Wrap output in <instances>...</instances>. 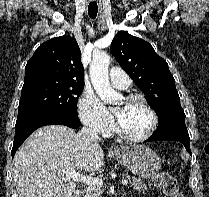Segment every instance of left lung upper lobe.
<instances>
[{
	"label": "left lung upper lobe",
	"instance_id": "obj_1",
	"mask_svg": "<svg viewBox=\"0 0 209 197\" xmlns=\"http://www.w3.org/2000/svg\"><path fill=\"white\" fill-rule=\"evenodd\" d=\"M110 51L134 83L148 97L159 124L173 117H185L167 62L146 41L120 31Z\"/></svg>",
	"mask_w": 209,
	"mask_h": 197
}]
</instances>
